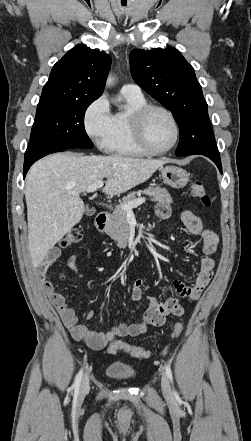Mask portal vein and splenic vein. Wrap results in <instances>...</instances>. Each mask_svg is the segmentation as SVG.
<instances>
[{
	"instance_id": "obj_1",
	"label": "portal vein and splenic vein",
	"mask_w": 251,
	"mask_h": 441,
	"mask_svg": "<svg viewBox=\"0 0 251 441\" xmlns=\"http://www.w3.org/2000/svg\"><path fill=\"white\" fill-rule=\"evenodd\" d=\"M104 182L102 180L96 181L94 184L90 185L86 192L88 193H92L95 192L97 189L103 187ZM75 195H78L77 192L73 193ZM146 201L145 198H137L135 200H132L128 203H124V204H120L118 206H116L117 208H122L123 210H125L126 212H131L133 208H136L137 206L143 204Z\"/></svg>"
}]
</instances>
